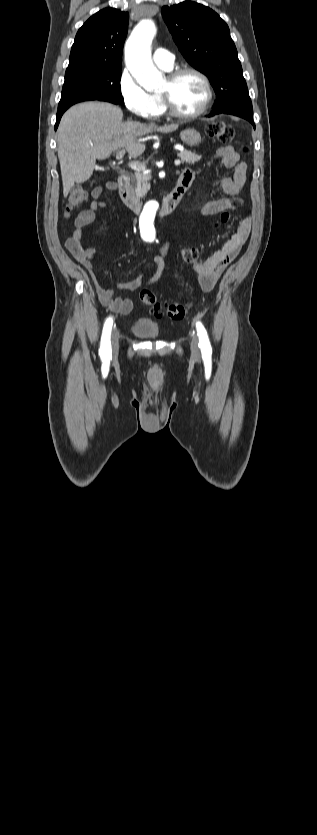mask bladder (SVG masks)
Here are the masks:
<instances>
[{"label":"bladder","instance_id":"31cf9c89","mask_svg":"<svg viewBox=\"0 0 317 835\" xmlns=\"http://www.w3.org/2000/svg\"><path fill=\"white\" fill-rule=\"evenodd\" d=\"M134 335L142 338H155L159 335V325L150 318H140L131 328Z\"/></svg>","mask_w":317,"mask_h":835}]
</instances>
